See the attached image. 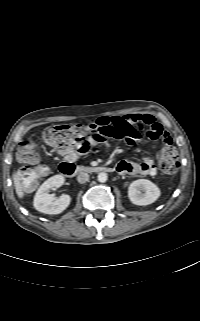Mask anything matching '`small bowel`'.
<instances>
[{
    "mask_svg": "<svg viewBox=\"0 0 200 321\" xmlns=\"http://www.w3.org/2000/svg\"><path fill=\"white\" fill-rule=\"evenodd\" d=\"M96 126L110 125L114 127L119 135V139H123L130 146L137 145L141 139V131L145 130L146 136L150 140H161L165 145L162 152L170 148L173 139L163 126L156 121L151 114H127L124 116L100 117ZM161 152V153H162ZM66 159L70 162L76 159L75 154L71 152L65 153ZM116 171L122 175H142L154 176L157 173V167L151 156H146L142 162L135 163L129 161H120L116 167Z\"/></svg>",
    "mask_w": 200,
    "mask_h": 321,
    "instance_id": "small-bowel-1",
    "label": "small bowel"
}]
</instances>
